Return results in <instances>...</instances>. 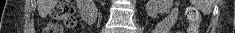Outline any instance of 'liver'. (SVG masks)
Returning a JSON list of instances; mask_svg holds the SVG:
<instances>
[{"mask_svg": "<svg viewBox=\"0 0 235 33\" xmlns=\"http://www.w3.org/2000/svg\"><path fill=\"white\" fill-rule=\"evenodd\" d=\"M52 7L51 0H38V12L41 17H46Z\"/></svg>", "mask_w": 235, "mask_h": 33, "instance_id": "obj_1", "label": "liver"}]
</instances>
